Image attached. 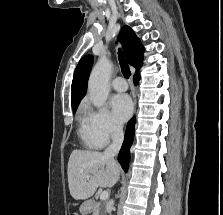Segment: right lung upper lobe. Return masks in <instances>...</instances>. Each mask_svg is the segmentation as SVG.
<instances>
[{
  "instance_id": "right-lung-upper-lobe-1",
  "label": "right lung upper lobe",
  "mask_w": 223,
  "mask_h": 215,
  "mask_svg": "<svg viewBox=\"0 0 223 215\" xmlns=\"http://www.w3.org/2000/svg\"><path fill=\"white\" fill-rule=\"evenodd\" d=\"M123 45L125 50L127 61L130 65L136 68L138 71L142 66L143 52L144 48L135 35L133 30L124 26L120 31L118 37ZM93 64V57L87 55L83 57L74 72L73 81H72V108L75 109L78 107L81 99L84 97L87 90V81L89 77V72Z\"/></svg>"
}]
</instances>
